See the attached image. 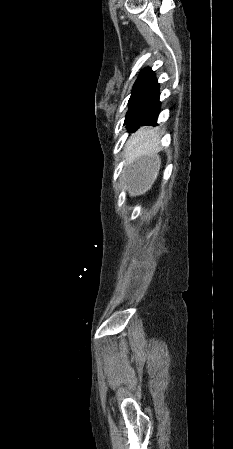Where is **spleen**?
I'll list each match as a JSON object with an SVG mask.
<instances>
[{
  "label": "spleen",
  "mask_w": 233,
  "mask_h": 449,
  "mask_svg": "<svg viewBox=\"0 0 233 449\" xmlns=\"http://www.w3.org/2000/svg\"><path fill=\"white\" fill-rule=\"evenodd\" d=\"M159 140H160V135L158 133H153L151 136L142 140V143L139 145V149H141L145 143L152 142V141L158 142ZM135 142H136V139H133L129 143L128 147L130 148ZM156 174H157V172L155 173V176H156Z\"/></svg>",
  "instance_id": "obj_1"
}]
</instances>
